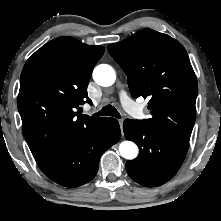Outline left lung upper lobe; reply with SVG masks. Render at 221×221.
I'll use <instances>...</instances> for the list:
<instances>
[{
  "label": "left lung upper lobe",
  "mask_w": 221,
  "mask_h": 221,
  "mask_svg": "<svg viewBox=\"0 0 221 221\" xmlns=\"http://www.w3.org/2000/svg\"><path fill=\"white\" fill-rule=\"evenodd\" d=\"M107 48L127 75L131 95L150 97L152 117L141 122L189 142L198 86L185 48L169 35L151 29Z\"/></svg>",
  "instance_id": "5c2ea615"
}]
</instances>
